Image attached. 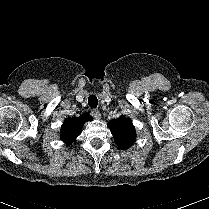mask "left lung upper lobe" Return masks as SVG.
Listing matches in <instances>:
<instances>
[{
    "label": "left lung upper lobe",
    "mask_w": 209,
    "mask_h": 209,
    "mask_svg": "<svg viewBox=\"0 0 209 209\" xmlns=\"http://www.w3.org/2000/svg\"><path fill=\"white\" fill-rule=\"evenodd\" d=\"M108 126L116 143L122 149L129 148L135 142L134 126L130 118L121 116L117 119H112Z\"/></svg>",
    "instance_id": "obj_1"
}]
</instances>
